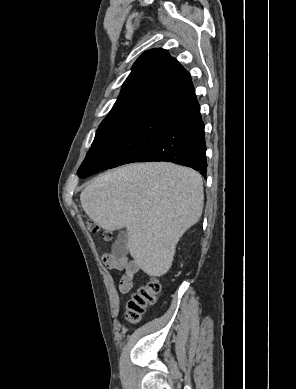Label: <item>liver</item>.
<instances>
[{
    "mask_svg": "<svg viewBox=\"0 0 296 389\" xmlns=\"http://www.w3.org/2000/svg\"><path fill=\"white\" fill-rule=\"evenodd\" d=\"M203 182L169 162L125 165L96 177L80 195L85 213L106 231L127 229L128 249L149 276L168 272L176 245L203 211Z\"/></svg>",
    "mask_w": 296,
    "mask_h": 389,
    "instance_id": "liver-1",
    "label": "liver"
}]
</instances>
